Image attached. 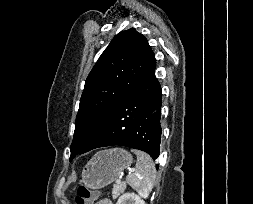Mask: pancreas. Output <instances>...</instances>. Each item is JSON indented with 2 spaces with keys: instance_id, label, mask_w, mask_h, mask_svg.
<instances>
[{
  "instance_id": "1",
  "label": "pancreas",
  "mask_w": 253,
  "mask_h": 204,
  "mask_svg": "<svg viewBox=\"0 0 253 204\" xmlns=\"http://www.w3.org/2000/svg\"><path fill=\"white\" fill-rule=\"evenodd\" d=\"M125 189H126L125 184L114 185L112 190V198L116 199L121 193L125 191Z\"/></svg>"
}]
</instances>
